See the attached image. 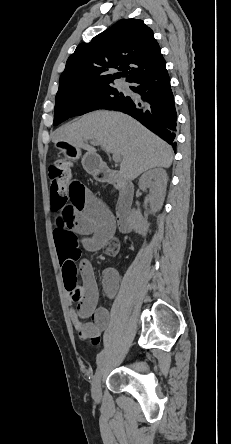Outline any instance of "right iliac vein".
Returning a JSON list of instances; mask_svg holds the SVG:
<instances>
[{
  "instance_id": "obj_1",
  "label": "right iliac vein",
  "mask_w": 231,
  "mask_h": 444,
  "mask_svg": "<svg viewBox=\"0 0 231 444\" xmlns=\"http://www.w3.org/2000/svg\"><path fill=\"white\" fill-rule=\"evenodd\" d=\"M104 369H105V358H102V360L98 364V367L92 378V383H91L92 397L97 402L101 400V379L104 373Z\"/></svg>"
}]
</instances>
